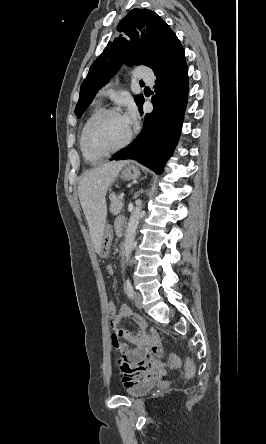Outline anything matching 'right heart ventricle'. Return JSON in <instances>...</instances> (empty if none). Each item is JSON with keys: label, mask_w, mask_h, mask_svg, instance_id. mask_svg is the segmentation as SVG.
I'll use <instances>...</instances> for the list:
<instances>
[{"label": "right heart ventricle", "mask_w": 266, "mask_h": 444, "mask_svg": "<svg viewBox=\"0 0 266 444\" xmlns=\"http://www.w3.org/2000/svg\"><path fill=\"white\" fill-rule=\"evenodd\" d=\"M99 110H100V106H99L98 104L95 105L94 108L92 109V111L89 113L88 117L86 118L85 123H84V125H83V127H82V130H81V133H80V137H79L80 149H81V151H82L84 157H85L87 160H100V159L103 158V156L92 155V154L88 153L87 151H85V149L83 148V145H82V133H83V130H84L86 124L88 123V121L90 120V118H91L95 113H97Z\"/></svg>", "instance_id": "right-heart-ventricle-1"}]
</instances>
